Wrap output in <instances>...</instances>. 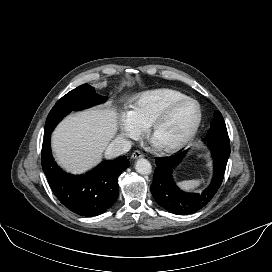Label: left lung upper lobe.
Segmentation results:
<instances>
[{"label":"left lung upper lobe","mask_w":272,"mask_h":272,"mask_svg":"<svg viewBox=\"0 0 272 272\" xmlns=\"http://www.w3.org/2000/svg\"><path fill=\"white\" fill-rule=\"evenodd\" d=\"M215 119L208 131L205 141H214L230 146L226 125L222 114L219 111L214 112Z\"/></svg>","instance_id":"obj_1"}]
</instances>
